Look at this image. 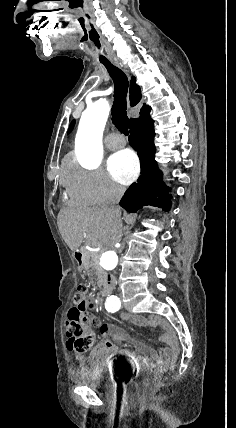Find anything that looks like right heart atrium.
Returning <instances> with one entry per match:
<instances>
[{
    "label": "right heart atrium",
    "instance_id": "right-heart-atrium-1",
    "mask_svg": "<svg viewBox=\"0 0 236 428\" xmlns=\"http://www.w3.org/2000/svg\"><path fill=\"white\" fill-rule=\"evenodd\" d=\"M64 186L78 206H104L105 200H120L125 192L102 167L84 168L78 164L70 166Z\"/></svg>",
    "mask_w": 236,
    "mask_h": 428
}]
</instances>
